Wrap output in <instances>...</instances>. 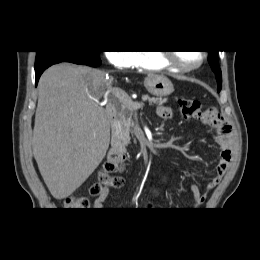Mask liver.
<instances>
[{"mask_svg":"<svg viewBox=\"0 0 260 260\" xmlns=\"http://www.w3.org/2000/svg\"><path fill=\"white\" fill-rule=\"evenodd\" d=\"M106 76L99 69L61 63L48 68L39 80L33 155L56 199L70 196L106 155L110 124L98 105L111 89V78Z\"/></svg>","mask_w":260,"mask_h":260,"instance_id":"1","label":"liver"}]
</instances>
